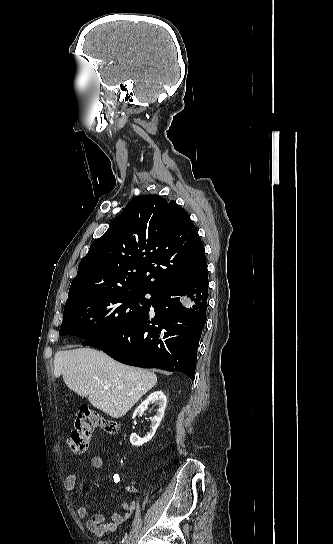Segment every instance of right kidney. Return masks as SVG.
I'll return each mask as SVG.
<instances>
[{"label": "right kidney", "instance_id": "right-kidney-1", "mask_svg": "<svg viewBox=\"0 0 333 544\" xmlns=\"http://www.w3.org/2000/svg\"><path fill=\"white\" fill-rule=\"evenodd\" d=\"M154 403L158 405L157 414L151 419L150 431L145 438H140L136 434L132 433L130 436V442L134 446H141L144 443L150 441L154 436L160 422L164 416V410L166 408L167 399L162 391H155L151 393L145 401H143L134 411L133 418L141 416L147 409L148 405Z\"/></svg>", "mask_w": 333, "mask_h": 544}]
</instances>
